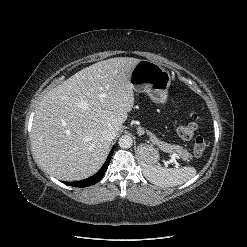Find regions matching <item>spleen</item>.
<instances>
[{
	"label": "spleen",
	"instance_id": "spleen-1",
	"mask_svg": "<svg viewBox=\"0 0 247 247\" xmlns=\"http://www.w3.org/2000/svg\"><path fill=\"white\" fill-rule=\"evenodd\" d=\"M143 173L152 183L161 187L181 185L196 175L194 167L164 168L161 166L143 163Z\"/></svg>",
	"mask_w": 247,
	"mask_h": 247
}]
</instances>
